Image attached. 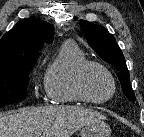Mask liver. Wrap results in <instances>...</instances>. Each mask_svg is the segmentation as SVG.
Listing matches in <instances>:
<instances>
[{"label": "liver", "instance_id": "6515ba94", "mask_svg": "<svg viewBox=\"0 0 144 137\" xmlns=\"http://www.w3.org/2000/svg\"><path fill=\"white\" fill-rule=\"evenodd\" d=\"M105 119L79 106L25 107L0 114V137H71L85 125Z\"/></svg>", "mask_w": 144, "mask_h": 137}]
</instances>
